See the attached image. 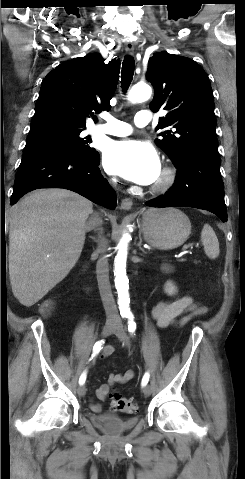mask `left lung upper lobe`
<instances>
[{"instance_id":"5c2ea615","label":"left lung upper lobe","mask_w":245,"mask_h":479,"mask_svg":"<svg viewBox=\"0 0 245 479\" xmlns=\"http://www.w3.org/2000/svg\"><path fill=\"white\" fill-rule=\"evenodd\" d=\"M146 78L155 89L150 109L168 112L156 130H173L161 132L162 139L155 142L173 164L200 151H218L213 93L202 67L189 58L159 52L149 59Z\"/></svg>"}]
</instances>
